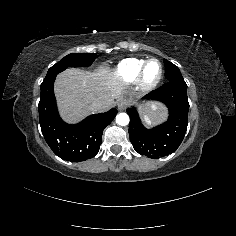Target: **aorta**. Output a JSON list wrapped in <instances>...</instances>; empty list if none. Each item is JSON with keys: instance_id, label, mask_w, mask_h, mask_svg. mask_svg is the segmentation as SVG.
<instances>
[{"instance_id": "aorta-1", "label": "aorta", "mask_w": 236, "mask_h": 236, "mask_svg": "<svg viewBox=\"0 0 236 236\" xmlns=\"http://www.w3.org/2000/svg\"><path fill=\"white\" fill-rule=\"evenodd\" d=\"M116 123L121 126H126L129 124V116L126 113H119L116 116Z\"/></svg>"}]
</instances>
